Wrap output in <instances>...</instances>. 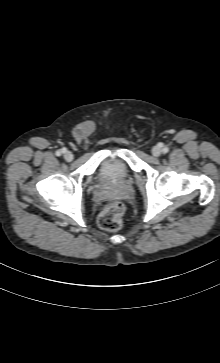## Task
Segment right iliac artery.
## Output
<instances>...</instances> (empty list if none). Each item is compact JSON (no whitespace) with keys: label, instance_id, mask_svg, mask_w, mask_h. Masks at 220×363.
Instances as JSON below:
<instances>
[{"label":"right iliac artery","instance_id":"82829eb1","mask_svg":"<svg viewBox=\"0 0 220 363\" xmlns=\"http://www.w3.org/2000/svg\"><path fill=\"white\" fill-rule=\"evenodd\" d=\"M65 152H66V149H62L61 151H57L56 155L60 156L62 153H65Z\"/></svg>","mask_w":220,"mask_h":363}]
</instances>
